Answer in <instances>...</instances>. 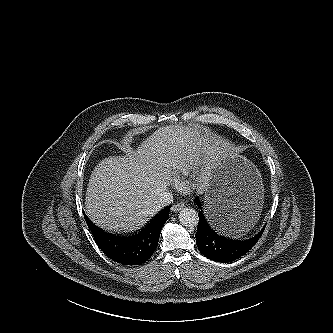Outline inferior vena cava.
<instances>
[{
    "mask_svg": "<svg viewBox=\"0 0 333 333\" xmlns=\"http://www.w3.org/2000/svg\"><path fill=\"white\" fill-rule=\"evenodd\" d=\"M173 203V195L169 191L160 193L159 197L155 201V208L160 210Z\"/></svg>",
    "mask_w": 333,
    "mask_h": 333,
    "instance_id": "1",
    "label": "inferior vena cava"
}]
</instances>
